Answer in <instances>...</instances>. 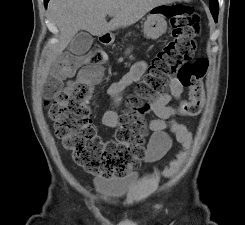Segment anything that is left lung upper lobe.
<instances>
[{
	"label": "left lung upper lobe",
	"mask_w": 245,
	"mask_h": 225,
	"mask_svg": "<svg viewBox=\"0 0 245 225\" xmlns=\"http://www.w3.org/2000/svg\"><path fill=\"white\" fill-rule=\"evenodd\" d=\"M218 9H219L218 0H210V11L216 21L218 17Z\"/></svg>",
	"instance_id": "left-lung-upper-lobe-1"
}]
</instances>
